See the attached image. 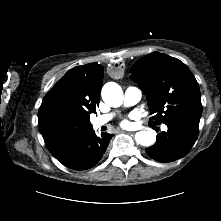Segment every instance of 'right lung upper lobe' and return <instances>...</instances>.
Returning a JSON list of instances; mask_svg holds the SVG:
<instances>
[{"label":"right lung upper lobe","instance_id":"right-lung-upper-lobe-1","mask_svg":"<svg viewBox=\"0 0 221 221\" xmlns=\"http://www.w3.org/2000/svg\"><path fill=\"white\" fill-rule=\"evenodd\" d=\"M103 82L97 63L69 70L45 95L38 112L39 130L54 156L92 129Z\"/></svg>","mask_w":221,"mask_h":221}]
</instances>
